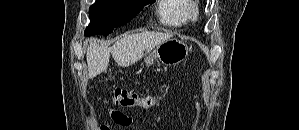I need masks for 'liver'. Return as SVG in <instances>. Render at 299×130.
<instances>
[{
  "label": "liver",
  "mask_w": 299,
  "mask_h": 130,
  "mask_svg": "<svg viewBox=\"0 0 299 130\" xmlns=\"http://www.w3.org/2000/svg\"><path fill=\"white\" fill-rule=\"evenodd\" d=\"M173 36L171 33L141 32L127 35L111 47L92 39L87 49L88 77L93 78L104 72L109 64L110 55L120 67H129L151 52L159 44Z\"/></svg>",
  "instance_id": "6515ba94"
}]
</instances>
